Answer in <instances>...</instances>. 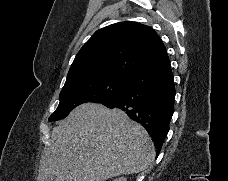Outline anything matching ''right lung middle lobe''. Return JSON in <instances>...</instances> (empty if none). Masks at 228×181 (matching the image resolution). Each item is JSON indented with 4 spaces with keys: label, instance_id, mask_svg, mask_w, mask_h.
<instances>
[{
    "label": "right lung middle lobe",
    "instance_id": "dd1d6c3e",
    "mask_svg": "<svg viewBox=\"0 0 228 181\" xmlns=\"http://www.w3.org/2000/svg\"><path fill=\"white\" fill-rule=\"evenodd\" d=\"M131 78L110 74L86 76L65 83L60 93V103L49 121L65 118L72 109L80 104L102 103L118 95Z\"/></svg>",
    "mask_w": 228,
    "mask_h": 181
}]
</instances>
